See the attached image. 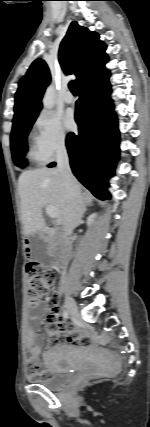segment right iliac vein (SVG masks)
Instances as JSON below:
<instances>
[{
  "instance_id": "1",
  "label": "right iliac vein",
  "mask_w": 150,
  "mask_h": 427,
  "mask_svg": "<svg viewBox=\"0 0 150 427\" xmlns=\"http://www.w3.org/2000/svg\"><path fill=\"white\" fill-rule=\"evenodd\" d=\"M65 306H66L68 312L73 317H77L78 316L77 305H76L75 301L70 296H66V298H65Z\"/></svg>"
}]
</instances>
